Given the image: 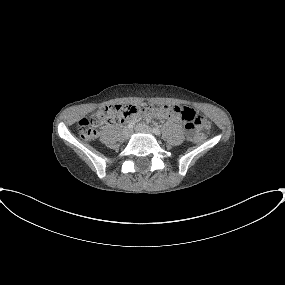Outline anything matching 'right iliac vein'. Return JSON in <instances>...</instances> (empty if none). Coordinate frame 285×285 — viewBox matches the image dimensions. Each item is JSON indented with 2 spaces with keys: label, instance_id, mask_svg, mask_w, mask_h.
<instances>
[{
  "label": "right iliac vein",
  "instance_id": "63e3f726",
  "mask_svg": "<svg viewBox=\"0 0 285 285\" xmlns=\"http://www.w3.org/2000/svg\"><path fill=\"white\" fill-rule=\"evenodd\" d=\"M131 134H132V130L131 129H125L124 132H123V135H124L125 139H129Z\"/></svg>",
  "mask_w": 285,
  "mask_h": 285
}]
</instances>
